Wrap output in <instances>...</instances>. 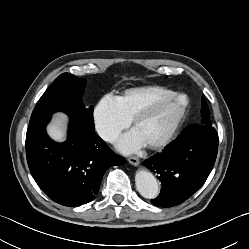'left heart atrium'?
Returning <instances> with one entry per match:
<instances>
[{
  "mask_svg": "<svg viewBox=\"0 0 249 249\" xmlns=\"http://www.w3.org/2000/svg\"><path fill=\"white\" fill-rule=\"evenodd\" d=\"M147 145L148 143L135 129L123 135L116 144L118 150L124 153L140 151Z\"/></svg>",
  "mask_w": 249,
  "mask_h": 249,
  "instance_id": "obj_1",
  "label": "left heart atrium"
}]
</instances>
